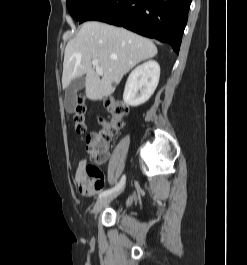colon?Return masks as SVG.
Wrapping results in <instances>:
<instances>
[{
	"label": "colon",
	"mask_w": 247,
	"mask_h": 265,
	"mask_svg": "<svg viewBox=\"0 0 247 265\" xmlns=\"http://www.w3.org/2000/svg\"><path fill=\"white\" fill-rule=\"evenodd\" d=\"M104 103L109 117L107 120L101 122V127L96 132L86 135L85 104L82 98H78L75 111L72 115L75 131L87 143L88 160L85 162V171L93 177L101 175L97 165L107 159V144L120 131L124 124V119L128 114V106L115 97L106 98Z\"/></svg>",
	"instance_id": "obj_1"
}]
</instances>
